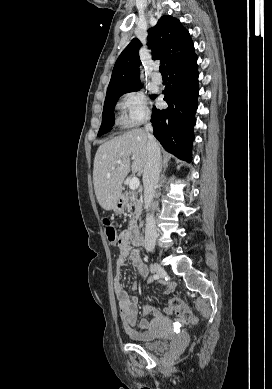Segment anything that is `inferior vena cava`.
Segmentation results:
<instances>
[{"instance_id": "1", "label": "inferior vena cava", "mask_w": 272, "mask_h": 389, "mask_svg": "<svg viewBox=\"0 0 272 389\" xmlns=\"http://www.w3.org/2000/svg\"><path fill=\"white\" fill-rule=\"evenodd\" d=\"M145 131L147 133V161L143 170V184H144V202L146 208H150L155 191L158 187L160 167H161V153L160 148L152 135L153 127L151 123H146ZM147 224L145 229L144 247L147 251H153L157 239V229L153 214L147 215Z\"/></svg>"}]
</instances>
